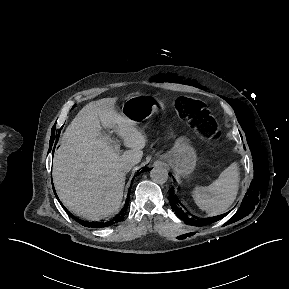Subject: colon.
Listing matches in <instances>:
<instances>
[{"label":"colon","mask_w":289,"mask_h":289,"mask_svg":"<svg viewBox=\"0 0 289 289\" xmlns=\"http://www.w3.org/2000/svg\"><path fill=\"white\" fill-rule=\"evenodd\" d=\"M176 105L186 120L194 125L203 136L213 138L216 135V129L204 103L199 100L179 97L176 100Z\"/></svg>","instance_id":"obj_1"}]
</instances>
